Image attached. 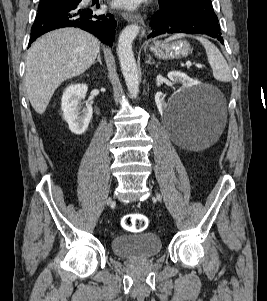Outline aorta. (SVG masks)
Instances as JSON below:
<instances>
[{
	"label": "aorta",
	"instance_id": "1",
	"mask_svg": "<svg viewBox=\"0 0 267 301\" xmlns=\"http://www.w3.org/2000/svg\"><path fill=\"white\" fill-rule=\"evenodd\" d=\"M139 31L140 27L136 24L125 27L119 35L117 47L121 70L132 98L137 97L139 92V75L132 50L133 40Z\"/></svg>",
	"mask_w": 267,
	"mask_h": 301
}]
</instances>
